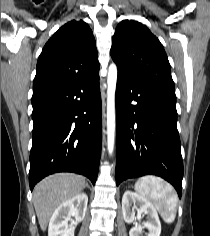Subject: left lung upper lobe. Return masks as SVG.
<instances>
[{
  "label": "left lung upper lobe",
  "instance_id": "1",
  "mask_svg": "<svg viewBox=\"0 0 210 236\" xmlns=\"http://www.w3.org/2000/svg\"><path fill=\"white\" fill-rule=\"evenodd\" d=\"M118 76L142 84L174 88L170 64L160 41L141 23L123 20L112 39Z\"/></svg>",
  "mask_w": 210,
  "mask_h": 236
}]
</instances>
